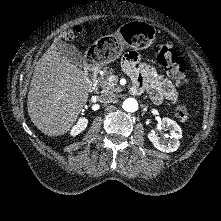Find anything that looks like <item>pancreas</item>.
<instances>
[{
	"mask_svg": "<svg viewBox=\"0 0 221 221\" xmlns=\"http://www.w3.org/2000/svg\"><path fill=\"white\" fill-rule=\"evenodd\" d=\"M113 69L109 68V67H105L103 69V73L101 74L100 78H99V84L101 86V88H103V90L105 92H120L122 89L117 85V78L115 79V81L110 82L109 79L113 74Z\"/></svg>",
	"mask_w": 221,
	"mask_h": 221,
	"instance_id": "pancreas-1",
	"label": "pancreas"
}]
</instances>
